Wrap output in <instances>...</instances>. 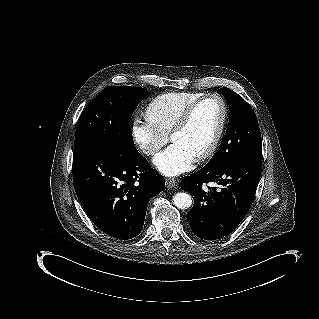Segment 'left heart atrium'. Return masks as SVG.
Wrapping results in <instances>:
<instances>
[{
  "mask_svg": "<svg viewBox=\"0 0 319 319\" xmlns=\"http://www.w3.org/2000/svg\"><path fill=\"white\" fill-rule=\"evenodd\" d=\"M195 156L184 144L174 141L165 151L156 156L155 165L166 175H177L193 168Z\"/></svg>",
  "mask_w": 319,
  "mask_h": 319,
  "instance_id": "obj_1",
  "label": "left heart atrium"
}]
</instances>
